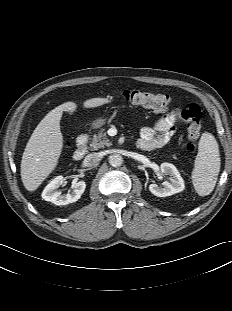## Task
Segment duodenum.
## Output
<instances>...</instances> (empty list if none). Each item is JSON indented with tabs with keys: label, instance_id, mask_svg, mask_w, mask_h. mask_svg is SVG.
<instances>
[{
	"label": "duodenum",
	"instance_id": "duodenum-1",
	"mask_svg": "<svg viewBox=\"0 0 232 311\" xmlns=\"http://www.w3.org/2000/svg\"><path fill=\"white\" fill-rule=\"evenodd\" d=\"M87 139L86 134H82L77 138V146L72 156L74 161H81L85 156L87 152Z\"/></svg>",
	"mask_w": 232,
	"mask_h": 311
}]
</instances>
